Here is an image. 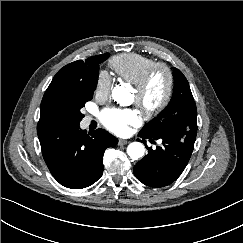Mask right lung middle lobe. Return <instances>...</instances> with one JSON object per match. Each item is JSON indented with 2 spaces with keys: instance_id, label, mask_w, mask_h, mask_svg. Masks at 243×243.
I'll list each match as a JSON object with an SVG mask.
<instances>
[{
  "instance_id": "1",
  "label": "right lung middle lobe",
  "mask_w": 243,
  "mask_h": 243,
  "mask_svg": "<svg viewBox=\"0 0 243 243\" xmlns=\"http://www.w3.org/2000/svg\"><path fill=\"white\" fill-rule=\"evenodd\" d=\"M109 54H103L98 61H105ZM97 80L87 85L63 87L52 93L43 107V115L49 124L77 125L84 115L81 108L90 101L96 88Z\"/></svg>"
}]
</instances>
